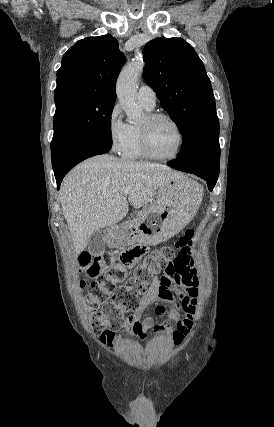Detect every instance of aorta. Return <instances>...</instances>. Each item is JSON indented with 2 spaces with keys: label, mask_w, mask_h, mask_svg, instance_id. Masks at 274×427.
Masks as SVG:
<instances>
[{
  "label": "aorta",
  "mask_w": 274,
  "mask_h": 427,
  "mask_svg": "<svg viewBox=\"0 0 274 427\" xmlns=\"http://www.w3.org/2000/svg\"><path fill=\"white\" fill-rule=\"evenodd\" d=\"M143 68L142 56L136 57L121 71L116 84L117 97L130 121L138 120L142 113L141 107L137 104L136 95Z\"/></svg>",
  "instance_id": "1"
}]
</instances>
